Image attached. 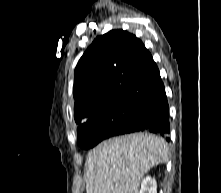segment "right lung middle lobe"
<instances>
[{"label":"right lung middle lobe","mask_w":221,"mask_h":193,"mask_svg":"<svg viewBox=\"0 0 221 193\" xmlns=\"http://www.w3.org/2000/svg\"><path fill=\"white\" fill-rule=\"evenodd\" d=\"M146 109L144 99H121L109 103L81 122L77 141L81 148H92L104 139L114 136L120 129L134 122Z\"/></svg>","instance_id":"obj_1"}]
</instances>
